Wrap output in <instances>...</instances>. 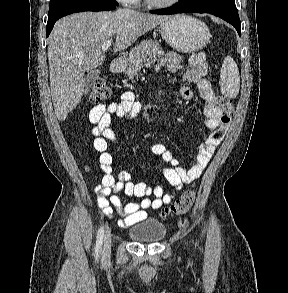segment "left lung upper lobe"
Instances as JSON below:
<instances>
[{"label": "left lung upper lobe", "instance_id": "5c2ea615", "mask_svg": "<svg viewBox=\"0 0 288 293\" xmlns=\"http://www.w3.org/2000/svg\"><path fill=\"white\" fill-rule=\"evenodd\" d=\"M180 1H187L196 4H204V3H217L229 8H236L235 0H180Z\"/></svg>", "mask_w": 288, "mask_h": 293}]
</instances>
